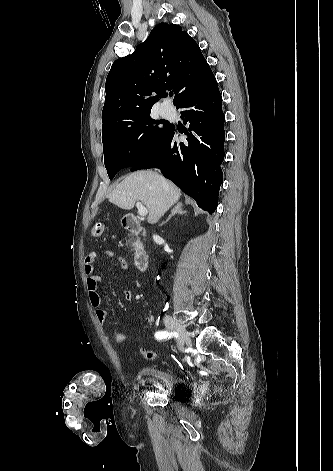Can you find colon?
Here are the masks:
<instances>
[{"instance_id": "obj_1", "label": "colon", "mask_w": 333, "mask_h": 471, "mask_svg": "<svg viewBox=\"0 0 333 471\" xmlns=\"http://www.w3.org/2000/svg\"><path fill=\"white\" fill-rule=\"evenodd\" d=\"M104 233V226L101 223L95 224L91 229V234L93 237H101ZM114 342L117 345H124L127 342V335L123 332H116L114 334ZM143 356L146 360H154L156 358V353L152 350H144Z\"/></svg>"}]
</instances>
